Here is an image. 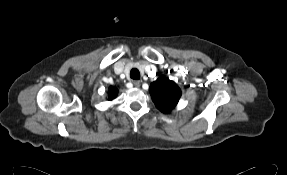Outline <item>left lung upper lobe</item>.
Returning a JSON list of instances; mask_svg holds the SVG:
<instances>
[{
	"label": "left lung upper lobe",
	"mask_w": 287,
	"mask_h": 175,
	"mask_svg": "<svg viewBox=\"0 0 287 175\" xmlns=\"http://www.w3.org/2000/svg\"><path fill=\"white\" fill-rule=\"evenodd\" d=\"M149 91L156 107L166 114L171 112L181 96V91L177 84L164 76L154 81Z\"/></svg>",
	"instance_id": "5c2ea615"
}]
</instances>
